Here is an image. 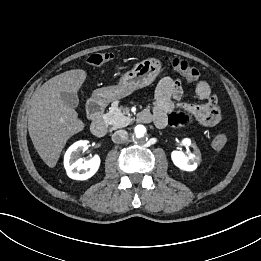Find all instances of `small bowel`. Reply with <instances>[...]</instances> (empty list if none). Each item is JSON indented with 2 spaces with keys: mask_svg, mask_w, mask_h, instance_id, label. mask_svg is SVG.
Segmentation results:
<instances>
[{
  "mask_svg": "<svg viewBox=\"0 0 261 261\" xmlns=\"http://www.w3.org/2000/svg\"><path fill=\"white\" fill-rule=\"evenodd\" d=\"M194 92L195 96L203 102H182L181 81L172 77H164L156 88L155 103L152 109L145 110L150 116L148 121H153L159 128L168 124L181 125L190 121H195L205 127L217 125L221 120V113L217 98L212 94L209 84L204 80H197Z\"/></svg>",
  "mask_w": 261,
  "mask_h": 261,
  "instance_id": "small-bowel-1",
  "label": "small bowel"
}]
</instances>
